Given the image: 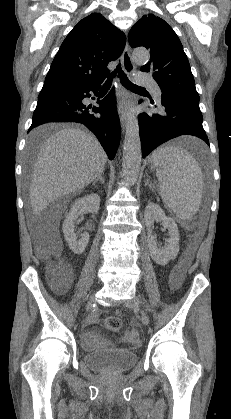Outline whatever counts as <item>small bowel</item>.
<instances>
[{
	"mask_svg": "<svg viewBox=\"0 0 231 419\" xmlns=\"http://www.w3.org/2000/svg\"><path fill=\"white\" fill-rule=\"evenodd\" d=\"M99 315V311L93 312L90 316H88L84 324L83 346L87 350H94L98 345L107 342V340L100 336L97 332L88 329V327L96 323Z\"/></svg>",
	"mask_w": 231,
	"mask_h": 419,
	"instance_id": "1",
	"label": "small bowel"
}]
</instances>
